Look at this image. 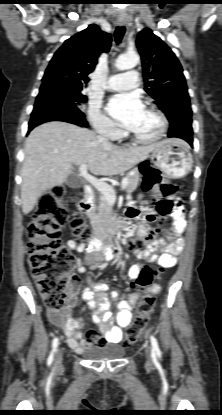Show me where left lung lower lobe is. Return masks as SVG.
Here are the masks:
<instances>
[{
	"label": "left lung lower lobe",
	"instance_id": "obj_1",
	"mask_svg": "<svg viewBox=\"0 0 222 415\" xmlns=\"http://www.w3.org/2000/svg\"><path fill=\"white\" fill-rule=\"evenodd\" d=\"M193 130L191 117H185L179 123L170 126L168 137L181 138L193 146Z\"/></svg>",
	"mask_w": 222,
	"mask_h": 415
}]
</instances>
